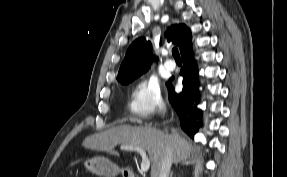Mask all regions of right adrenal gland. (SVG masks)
Returning a JSON list of instances; mask_svg holds the SVG:
<instances>
[{
    "label": "right adrenal gland",
    "mask_w": 287,
    "mask_h": 177,
    "mask_svg": "<svg viewBox=\"0 0 287 177\" xmlns=\"http://www.w3.org/2000/svg\"><path fill=\"white\" fill-rule=\"evenodd\" d=\"M170 177H173V172L170 173Z\"/></svg>",
    "instance_id": "1"
}]
</instances>
